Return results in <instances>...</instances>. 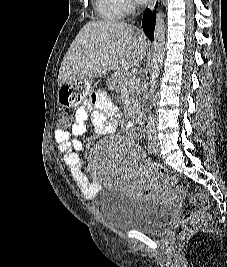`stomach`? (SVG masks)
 Masks as SVG:
<instances>
[{
	"label": "stomach",
	"mask_w": 227,
	"mask_h": 267,
	"mask_svg": "<svg viewBox=\"0 0 227 267\" xmlns=\"http://www.w3.org/2000/svg\"><path fill=\"white\" fill-rule=\"evenodd\" d=\"M70 82H63V87L57 92L56 101H60L61 107H78L82 99H87L90 91L88 79L76 80L75 77L69 78Z\"/></svg>",
	"instance_id": "0dacf381"
}]
</instances>
